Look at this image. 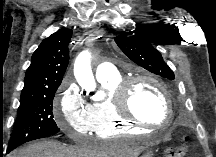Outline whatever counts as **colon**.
I'll return each instance as SVG.
<instances>
[{
	"instance_id": "5ec220e1",
	"label": "colon",
	"mask_w": 216,
	"mask_h": 157,
	"mask_svg": "<svg viewBox=\"0 0 216 157\" xmlns=\"http://www.w3.org/2000/svg\"><path fill=\"white\" fill-rule=\"evenodd\" d=\"M187 153V148L185 143H181L178 146L174 147L169 153L168 157H184Z\"/></svg>"
}]
</instances>
